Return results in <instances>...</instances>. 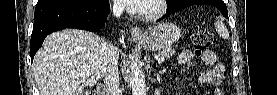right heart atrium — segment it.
<instances>
[{
  "mask_svg": "<svg viewBox=\"0 0 277 95\" xmlns=\"http://www.w3.org/2000/svg\"><path fill=\"white\" fill-rule=\"evenodd\" d=\"M115 11H116V12H119V11H120V8H119V7H116V8H115Z\"/></svg>",
  "mask_w": 277,
  "mask_h": 95,
  "instance_id": "1",
  "label": "right heart atrium"
}]
</instances>
